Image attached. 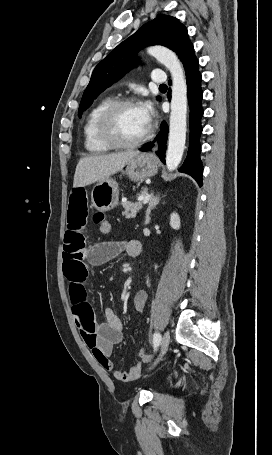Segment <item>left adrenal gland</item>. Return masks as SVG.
<instances>
[{
  "mask_svg": "<svg viewBox=\"0 0 272 455\" xmlns=\"http://www.w3.org/2000/svg\"><path fill=\"white\" fill-rule=\"evenodd\" d=\"M161 197L160 196H155L153 193L150 196V202L148 205V208L146 210V220H145V225L149 224L150 222V214L151 210H153L159 203Z\"/></svg>",
  "mask_w": 272,
  "mask_h": 455,
  "instance_id": "a2214340",
  "label": "left adrenal gland"
}]
</instances>
